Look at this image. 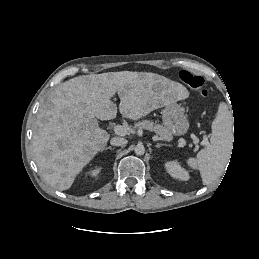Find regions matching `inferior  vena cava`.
Here are the masks:
<instances>
[{
	"instance_id": "1",
	"label": "inferior vena cava",
	"mask_w": 259,
	"mask_h": 259,
	"mask_svg": "<svg viewBox=\"0 0 259 259\" xmlns=\"http://www.w3.org/2000/svg\"><path fill=\"white\" fill-rule=\"evenodd\" d=\"M127 143V140L124 139V138H121V137H113L111 140H110V144L112 146H123Z\"/></svg>"
}]
</instances>
